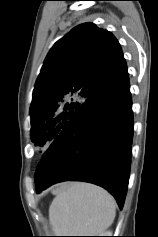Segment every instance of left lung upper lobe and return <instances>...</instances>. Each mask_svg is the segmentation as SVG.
<instances>
[{
  "label": "left lung upper lobe",
  "instance_id": "1",
  "mask_svg": "<svg viewBox=\"0 0 158 237\" xmlns=\"http://www.w3.org/2000/svg\"><path fill=\"white\" fill-rule=\"evenodd\" d=\"M128 76L119 42L93 23L76 26L48 53L30 106L35 145L54 140L93 96ZM42 180L36 171L35 183Z\"/></svg>",
  "mask_w": 158,
  "mask_h": 237
}]
</instances>
